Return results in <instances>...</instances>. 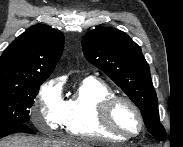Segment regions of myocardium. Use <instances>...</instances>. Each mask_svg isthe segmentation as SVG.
I'll return each mask as SVG.
<instances>
[{"mask_svg":"<svg viewBox=\"0 0 183 147\" xmlns=\"http://www.w3.org/2000/svg\"><path fill=\"white\" fill-rule=\"evenodd\" d=\"M118 102L126 103L136 113L140 123V128L137 133L128 134V133L122 132L113 123L112 110ZM98 118H99L100 124L103 126L104 129H106L111 134L123 139H131V138L138 137L139 135H141V133L145 128V120L139 107L131 99L121 95L114 94L102 100L98 106Z\"/></svg>","mask_w":183,"mask_h":147,"instance_id":"f54148a6","label":"myocardium"}]
</instances>
